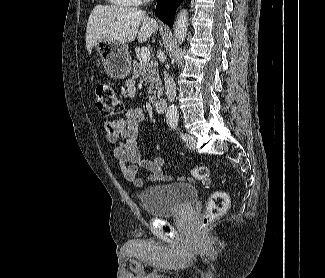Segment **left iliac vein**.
<instances>
[{"label": "left iliac vein", "instance_id": "obj_1", "mask_svg": "<svg viewBox=\"0 0 325 278\" xmlns=\"http://www.w3.org/2000/svg\"><path fill=\"white\" fill-rule=\"evenodd\" d=\"M195 144H196L195 138L190 136V140L186 144L187 148L190 150H193V149H195Z\"/></svg>", "mask_w": 325, "mask_h": 278}]
</instances>
